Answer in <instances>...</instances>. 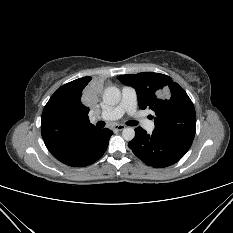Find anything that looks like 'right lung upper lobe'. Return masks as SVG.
<instances>
[{
    "mask_svg": "<svg viewBox=\"0 0 233 233\" xmlns=\"http://www.w3.org/2000/svg\"><path fill=\"white\" fill-rule=\"evenodd\" d=\"M91 77H83L61 86L52 98H60L68 103L71 115L66 122L59 125L42 123L41 132L43 139H55L60 145L68 146L75 143L82 135L97 130L88 117L89 107L83 104L82 94L92 90Z\"/></svg>",
    "mask_w": 233,
    "mask_h": 233,
    "instance_id": "right-lung-upper-lobe-1",
    "label": "right lung upper lobe"
}]
</instances>
